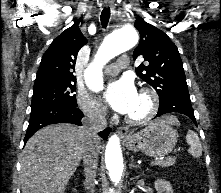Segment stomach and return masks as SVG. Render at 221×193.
Listing matches in <instances>:
<instances>
[{
    "mask_svg": "<svg viewBox=\"0 0 221 193\" xmlns=\"http://www.w3.org/2000/svg\"><path fill=\"white\" fill-rule=\"evenodd\" d=\"M177 137L176 131L161 118L150 122L144 129L129 134L124 144L128 150L142 152L150 157H161L173 150Z\"/></svg>",
    "mask_w": 221,
    "mask_h": 193,
    "instance_id": "obj_1",
    "label": "stomach"
}]
</instances>
